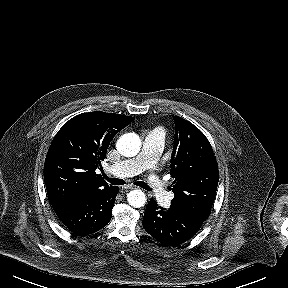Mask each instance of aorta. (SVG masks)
<instances>
[{"mask_svg": "<svg viewBox=\"0 0 288 288\" xmlns=\"http://www.w3.org/2000/svg\"><path fill=\"white\" fill-rule=\"evenodd\" d=\"M117 150L125 157L137 155L141 148V140L135 133H128L121 136L116 144ZM129 205L140 208L146 203V195L142 190H132L127 195Z\"/></svg>", "mask_w": 288, "mask_h": 288, "instance_id": "1", "label": "aorta"}]
</instances>
